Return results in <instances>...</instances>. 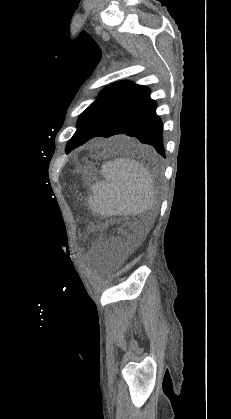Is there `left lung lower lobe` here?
Listing matches in <instances>:
<instances>
[{"label":"left lung lower lobe","instance_id":"0a47b994","mask_svg":"<svg viewBox=\"0 0 231 419\" xmlns=\"http://www.w3.org/2000/svg\"><path fill=\"white\" fill-rule=\"evenodd\" d=\"M156 107V102L150 99L149 88L139 86L130 97L111 110L79 145L98 136L108 138L125 134L136 137L141 143L153 146L165 157L163 125L156 114Z\"/></svg>","mask_w":231,"mask_h":419}]
</instances>
